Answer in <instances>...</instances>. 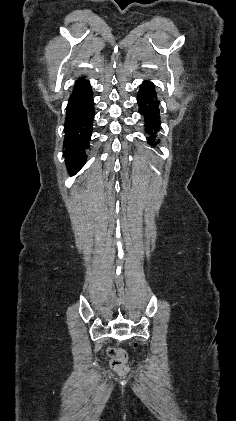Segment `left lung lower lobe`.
<instances>
[{
    "label": "left lung lower lobe",
    "instance_id": "obj_1",
    "mask_svg": "<svg viewBox=\"0 0 236 421\" xmlns=\"http://www.w3.org/2000/svg\"><path fill=\"white\" fill-rule=\"evenodd\" d=\"M157 99L154 84L150 81H144L137 94V102L139 113L144 116V130L149 135L148 143L153 147L157 144L155 137L156 132L160 129V109Z\"/></svg>",
    "mask_w": 236,
    "mask_h": 421
}]
</instances>
